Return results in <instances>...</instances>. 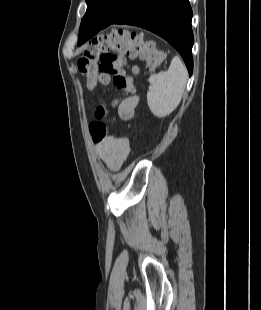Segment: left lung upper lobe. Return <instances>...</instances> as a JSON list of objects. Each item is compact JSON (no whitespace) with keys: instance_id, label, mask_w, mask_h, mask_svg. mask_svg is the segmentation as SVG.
<instances>
[{"instance_id":"5c2ea615","label":"left lung upper lobe","mask_w":261,"mask_h":310,"mask_svg":"<svg viewBox=\"0 0 261 310\" xmlns=\"http://www.w3.org/2000/svg\"><path fill=\"white\" fill-rule=\"evenodd\" d=\"M125 1L126 0H86L87 11L81 21V26L89 20H112L120 12Z\"/></svg>"}]
</instances>
